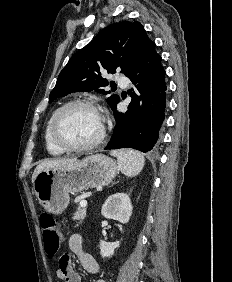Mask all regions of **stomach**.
Returning a JSON list of instances; mask_svg holds the SVG:
<instances>
[{"label":"stomach","mask_w":232,"mask_h":282,"mask_svg":"<svg viewBox=\"0 0 232 282\" xmlns=\"http://www.w3.org/2000/svg\"><path fill=\"white\" fill-rule=\"evenodd\" d=\"M118 172L119 167L113 159L93 154L73 164L41 171L33 182V188L46 211L60 214L69 204V193L108 185Z\"/></svg>","instance_id":"stomach-1"}]
</instances>
